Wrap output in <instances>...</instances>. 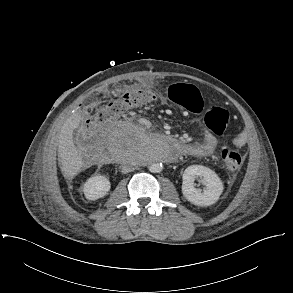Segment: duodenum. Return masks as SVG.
Masks as SVG:
<instances>
[{"mask_svg":"<svg viewBox=\"0 0 293 293\" xmlns=\"http://www.w3.org/2000/svg\"><path fill=\"white\" fill-rule=\"evenodd\" d=\"M161 137L166 139L172 146V148L174 149L175 152H178L180 154H183V153H186L187 150H188V144L181 141V140H178L177 138L171 136V135H164V134H161ZM116 153H113L112 155V158H116ZM176 158H169L168 161L169 162H173L175 161Z\"/></svg>","mask_w":293,"mask_h":293,"instance_id":"1","label":"duodenum"}]
</instances>
